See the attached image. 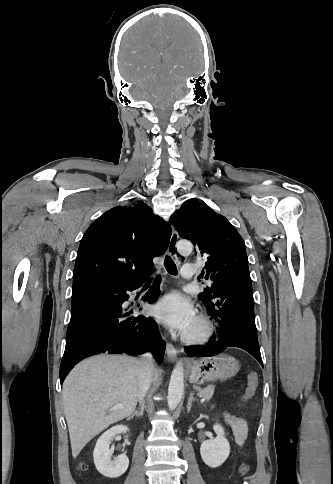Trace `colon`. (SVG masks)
I'll list each match as a JSON object with an SVG mask.
<instances>
[{
  "mask_svg": "<svg viewBox=\"0 0 333 484\" xmlns=\"http://www.w3.org/2000/svg\"><path fill=\"white\" fill-rule=\"evenodd\" d=\"M258 375L256 372L250 371L247 375V388L245 390L244 395L242 396V401L249 400L255 394L258 388ZM81 469H85V465H80ZM249 471V465L247 463H243L240 466L239 473L241 475L246 474Z\"/></svg>",
  "mask_w": 333,
  "mask_h": 484,
  "instance_id": "colon-1",
  "label": "colon"
}]
</instances>
